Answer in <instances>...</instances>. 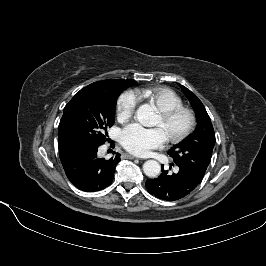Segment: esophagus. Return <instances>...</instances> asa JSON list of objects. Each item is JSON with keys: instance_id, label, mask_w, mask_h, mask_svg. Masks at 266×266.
<instances>
[{"instance_id": "1", "label": "esophagus", "mask_w": 266, "mask_h": 266, "mask_svg": "<svg viewBox=\"0 0 266 266\" xmlns=\"http://www.w3.org/2000/svg\"><path fill=\"white\" fill-rule=\"evenodd\" d=\"M122 158H127V159H137L136 157L129 155V154H123Z\"/></svg>"}]
</instances>
